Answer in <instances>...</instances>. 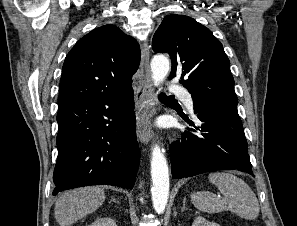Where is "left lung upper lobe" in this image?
<instances>
[{
    "mask_svg": "<svg viewBox=\"0 0 297 226\" xmlns=\"http://www.w3.org/2000/svg\"><path fill=\"white\" fill-rule=\"evenodd\" d=\"M152 47L156 53H169V78L180 76V83L192 95L194 110L213 105L237 108L230 61L208 28L188 16L167 15L153 37Z\"/></svg>",
    "mask_w": 297,
    "mask_h": 226,
    "instance_id": "5c2ea615",
    "label": "left lung upper lobe"
}]
</instances>
